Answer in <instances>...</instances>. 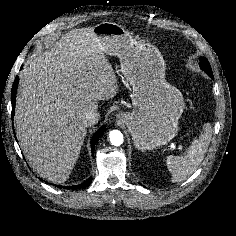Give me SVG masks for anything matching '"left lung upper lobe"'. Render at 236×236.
<instances>
[{
  "label": "left lung upper lobe",
  "mask_w": 236,
  "mask_h": 236,
  "mask_svg": "<svg viewBox=\"0 0 236 236\" xmlns=\"http://www.w3.org/2000/svg\"><path fill=\"white\" fill-rule=\"evenodd\" d=\"M200 67L204 70L209 76H213L211 66L206 58H200Z\"/></svg>",
  "instance_id": "left-lung-upper-lobe-1"
}]
</instances>
